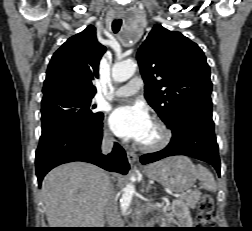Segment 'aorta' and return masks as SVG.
I'll list each match as a JSON object with an SVG mask.
<instances>
[{
    "label": "aorta",
    "instance_id": "762f6f07",
    "mask_svg": "<svg viewBox=\"0 0 252 231\" xmlns=\"http://www.w3.org/2000/svg\"><path fill=\"white\" fill-rule=\"evenodd\" d=\"M136 69L137 64L132 60L117 62L112 68V78L116 82H124L134 75ZM133 179H135L134 176H132V180ZM134 193L135 186L130 182L124 188V192L120 201V206L123 213L128 210Z\"/></svg>",
    "mask_w": 252,
    "mask_h": 231
}]
</instances>
